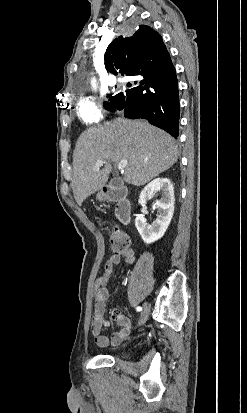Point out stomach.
<instances>
[{"label":"stomach","instance_id":"obj_1","mask_svg":"<svg viewBox=\"0 0 247 413\" xmlns=\"http://www.w3.org/2000/svg\"><path fill=\"white\" fill-rule=\"evenodd\" d=\"M97 198L98 200H101V198H105V192H103V190H101V192H98Z\"/></svg>","mask_w":247,"mask_h":413}]
</instances>
